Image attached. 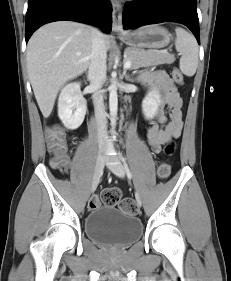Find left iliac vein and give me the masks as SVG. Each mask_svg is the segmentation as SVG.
Wrapping results in <instances>:
<instances>
[{"label": "left iliac vein", "instance_id": "4c4485c4", "mask_svg": "<svg viewBox=\"0 0 231 281\" xmlns=\"http://www.w3.org/2000/svg\"><path fill=\"white\" fill-rule=\"evenodd\" d=\"M108 163V168L118 177L124 178L126 175V171L122 163L118 160L116 156H114L112 159L106 160ZM136 201L139 206L142 205V199L139 195V193H136Z\"/></svg>", "mask_w": 231, "mask_h": 281}]
</instances>
